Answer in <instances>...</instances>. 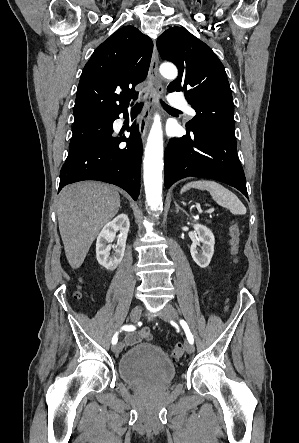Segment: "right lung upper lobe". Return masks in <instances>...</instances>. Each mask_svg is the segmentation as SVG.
Instances as JSON below:
<instances>
[{
  "label": "right lung upper lobe",
  "instance_id": "cb5924a9",
  "mask_svg": "<svg viewBox=\"0 0 299 443\" xmlns=\"http://www.w3.org/2000/svg\"><path fill=\"white\" fill-rule=\"evenodd\" d=\"M152 50V40L133 26L99 45L81 74L74 123L127 109L138 95L134 87L147 76Z\"/></svg>",
  "mask_w": 299,
  "mask_h": 443
}]
</instances>
